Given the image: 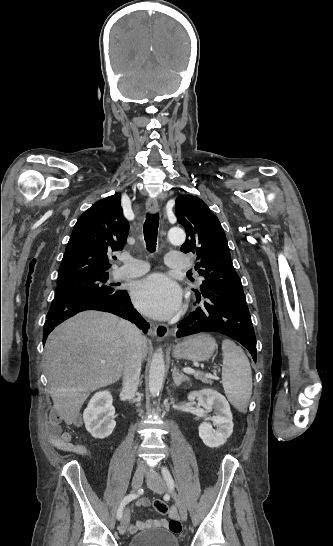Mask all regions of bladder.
Instances as JSON below:
<instances>
[{"label": "bladder", "instance_id": "31cf9c89", "mask_svg": "<svg viewBox=\"0 0 333 546\" xmlns=\"http://www.w3.org/2000/svg\"><path fill=\"white\" fill-rule=\"evenodd\" d=\"M129 546H179L177 537L166 529H152L133 536Z\"/></svg>", "mask_w": 333, "mask_h": 546}]
</instances>
